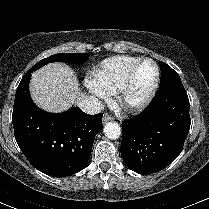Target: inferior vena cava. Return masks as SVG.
<instances>
[{
	"label": "inferior vena cava",
	"mask_w": 209,
	"mask_h": 209,
	"mask_svg": "<svg viewBox=\"0 0 209 209\" xmlns=\"http://www.w3.org/2000/svg\"><path fill=\"white\" fill-rule=\"evenodd\" d=\"M77 104L83 112L90 115L98 114L104 109L102 102L93 96L82 97L78 100Z\"/></svg>",
	"instance_id": "1"
}]
</instances>
